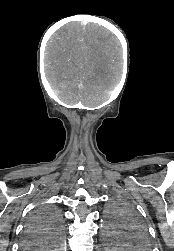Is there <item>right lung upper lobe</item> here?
Wrapping results in <instances>:
<instances>
[{
  "mask_svg": "<svg viewBox=\"0 0 174 251\" xmlns=\"http://www.w3.org/2000/svg\"><path fill=\"white\" fill-rule=\"evenodd\" d=\"M42 245H45V242L40 241L38 236H36L32 233H28L26 235V239H25V243H24L25 249H34V248L40 247Z\"/></svg>",
  "mask_w": 174,
  "mask_h": 251,
  "instance_id": "cb5924a9",
  "label": "right lung upper lobe"
}]
</instances>
